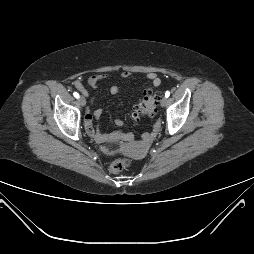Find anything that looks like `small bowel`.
Returning a JSON list of instances; mask_svg holds the SVG:
<instances>
[{
	"mask_svg": "<svg viewBox=\"0 0 254 254\" xmlns=\"http://www.w3.org/2000/svg\"><path fill=\"white\" fill-rule=\"evenodd\" d=\"M132 75L131 72L129 71H122L119 74V77L122 79H126L129 78ZM106 78H108L107 75H93L90 76L87 79V83L91 88H96L103 80H105ZM147 79L150 80L152 82V84L154 86H158L161 83V80L159 78V76L156 73H148L147 74ZM74 86L81 91L83 94H87V91L82 83V81L80 79L75 80L74 82ZM120 91V87L117 85H113L110 87V93L112 95H115L117 93H119ZM95 105V99L92 98L91 99V104L90 107H94ZM102 114V109L101 108H96L94 109V111L92 112L90 110V108H88L86 110V114H85V119H84V123H85V129L87 134L94 139L96 142L102 143V142H106V141H112L115 140L117 138H122V139H129L130 137L120 131L114 132L112 134H103L99 131L97 125L95 124V122L98 120V118L100 117V115ZM116 124L121 125L122 121L119 119L115 120ZM159 128V123L157 122L154 126V129L157 130ZM150 139V135L146 134L143 137L142 140V144L141 146H138V148L143 147L144 145H146L149 142ZM103 151L106 152L107 154H113L112 151H109L108 149L103 147Z\"/></svg>",
	"mask_w": 254,
	"mask_h": 254,
	"instance_id": "c3829d8e",
	"label": "small bowel"
}]
</instances>
